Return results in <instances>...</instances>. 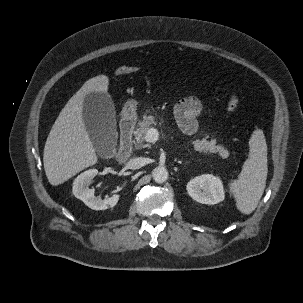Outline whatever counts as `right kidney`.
<instances>
[{"instance_id": "ca27d5eb", "label": "right kidney", "mask_w": 303, "mask_h": 303, "mask_svg": "<svg viewBox=\"0 0 303 303\" xmlns=\"http://www.w3.org/2000/svg\"><path fill=\"white\" fill-rule=\"evenodd\" d=\"M97 174V169H90L78 175L73 182L72 192L76 198L82 200L85 205L93 210H106L112 208L117 204L119 195L115 194L112 197L102 200L94 196V189L88 187L91 180Z\"/></svg>"}]
</instances>
